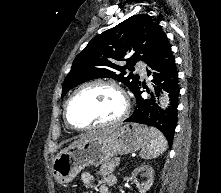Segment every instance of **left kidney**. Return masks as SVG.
<instances>
[{
	"instance_id": "1",
	"label": "left kidney",
	"mask_w": 221,
	"mask_h": 193,
	"mask_svg": "<svg viewBox=\"0 0 221 193\" xmlns=\"http://www.w3.org/2000/svg\"><path fill=\"white\" fill-rule=\"evenodd\" d=\"M141 175L146 178V181L143 183H139L137 181V176ZM133 182L136 184L140 193H146L154 182V170L150 165H141L135 168L132 172Z\"/></svg>"
}]
</instances>
